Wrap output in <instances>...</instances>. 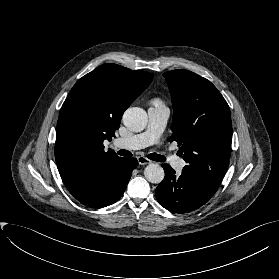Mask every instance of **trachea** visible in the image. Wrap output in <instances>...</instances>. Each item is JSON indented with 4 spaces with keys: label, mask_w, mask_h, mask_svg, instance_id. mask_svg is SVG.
I'll return each instance as SVG.
<instances>
[{
    "label": "trachea",
    "mask_w": 279,
    "mask_h": 279,
    "mask_svg": "<svg viewBox=\"0 0 279 279\" xmlns=\"http://www.w3.org/2000/svg\"><path fill=\"white\" fill-rule=\"evenodd\" d=\"M118 154L121 156H125V157H131L132 153L128 150H124L121 149L118 151ZM148 158L153 160V161H157V162H164L165 161V157L156 153H151L148 155Z\"/></svg>",
    "instance_id": "obj_1"
}]
</instances>
